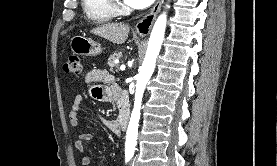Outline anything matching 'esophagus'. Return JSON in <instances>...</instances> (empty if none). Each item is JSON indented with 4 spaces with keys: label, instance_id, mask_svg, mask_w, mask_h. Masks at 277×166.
Wrapping results in <instances>:
<instances>
[{
    "label": "esophagus",
    "instance_id": "obj_1",
    "mask_svg": "<svg viewBox=\"0 0 277 166\" xmlns=\"http://www.w3.org/2000/svg\"><path fill=\"white\" fill-rule=\"evenodd\" d=\"M164 0H157L154 7L151 9V11L146 14L141 20L138 21V23L135 26V30L140 35H147L153 25V22L160 11V8L163 4Z\"/></svg>",
    "mask_w": 277,
    "mask_h": 166
}]
</instances>
